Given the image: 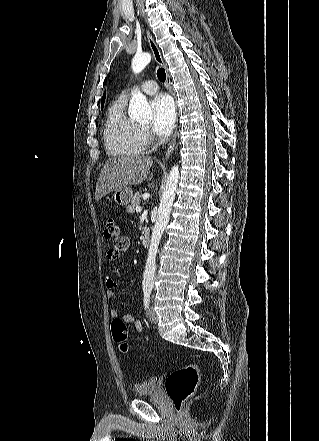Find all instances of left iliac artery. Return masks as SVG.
I'll list each match as a JSON object with an SVG mask.
<instances>
[{
  "mask_svg": "<svg viewBox=\"0 0 319 441\" xmlns=\"http://www.w3.org/2000/svg\"><path fill=\"white\" fill-rule=\"evenodd\" d=\"M150 294H151V290H145L144 291V306L145 309H148L149 304H150Z\"/></svg>",
  "mask_w": 319,
  "mask_h": 441,
  "instance_id": "left-iliac-artery-1",
  "label": "left iliac artery"
}]
</instances>
